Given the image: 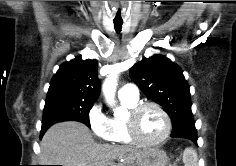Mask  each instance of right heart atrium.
Listing matches in <instances>:
<instances>
[{
    "label": "right heart atrium",
    "mask_w": 236,
    "mask_h": 166,
    "mask_svg": "<svg viewBox=\"0 0 236 166\" xmlns=\"http://www.w3.org/2000/svg\"><path fill=\"white\" fill-rule=\"evenodd\" d=\"M87 118L89 127L97 138L110 139V118L104 112L101 103L97 102L90 107Z\"/></svg>",
    "instance_id": "1"
}]
</instances>
